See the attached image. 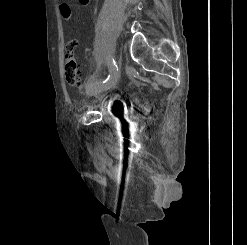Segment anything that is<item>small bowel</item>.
Masks as SVG:
<instances>
[{"label":"small bowel","instance_id":"1","mask_svg":"<svg viewBox=\"0 0 247 245\" xmlns=\"http://www.w3.org/2000/svg\"><path fill=\"white\" fill-rule=\"evenodd\" d=\"M82 5H88L90 0H79ZM60 12L65 19L71 18V9L67 3L60 5Z\"/></svg>","mask_w":247,"mask_h":245}]
</instances>
